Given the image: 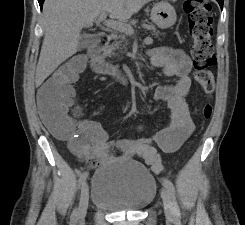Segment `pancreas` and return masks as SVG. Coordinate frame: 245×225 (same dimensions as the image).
I'll use <instances>...</instances> for the list:
<instances>
[{
	"label": "pancreas",
	"instance_id": "1",
	"mask_svg": "<svg viewBox=\"0 0 245 225\" xmlns=\"http://www.w3.org/2000/svg\"><path fill=\"white\" fill-rule=\"evenodd\" d=\"M146 26H147V28L149 30H152V33L154 35H157L159 33V32L156 31V27L153 24H147ZM125 41H126L125 36L119 35L117 40L114 43H112L110 46H108L107 49L105 50L106 55H108V56L115 55L114 51L116 49H120L121 50V49L125 48V45H123V47L120 48L122 43L125 42Z\"/></svg>",
	"mask_w": 245,
	"mask_h": 225
}]
</instances>
